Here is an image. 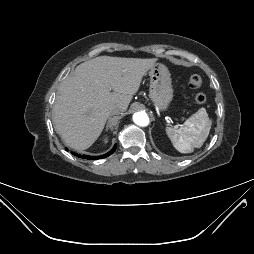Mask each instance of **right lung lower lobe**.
<instances>
[{"mask_svg":"<svg viewBox=\"0 0 254 254\" xmlns=\"http://www.w3.org/2000/svg\"><path fill=\"white\" fill-rule=\"evenodd\" d=\"M115 150H116V144L114 145V147L108 153H106L104 155H101L99 157L98 156L80 155V154H76V153H73V154L78 156L79 158H85V159H89V160H97L99 158H105V157L110 156Z\"/></svg>","mask_w":254,"mask_h":254,"instance_id":"right-lung-lower-lobe-1","label":"right lung lower lobe"}]
</instances>
